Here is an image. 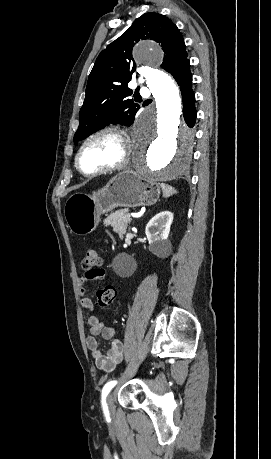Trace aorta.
<instances>
[{
	"instance_id": "obj_1",
	"label": "aorta",
	"mask_w": 271,
	"mask_h": 459,
	"mask_svg": "<svg viewBox=\"0 0 271 459\" xmlns=\"http://www.w3.org/2000/svg\"><path fill=\"white\" fill-rule=\"evenodd\" d=\"M133 54L153 97L154 105L139 117L132 141V166L144 179L170 180L190 164L194 135L181 119V97L174 80L158 69L161 47L153 41H140Z\"/></svg>"
}]
</instances>
